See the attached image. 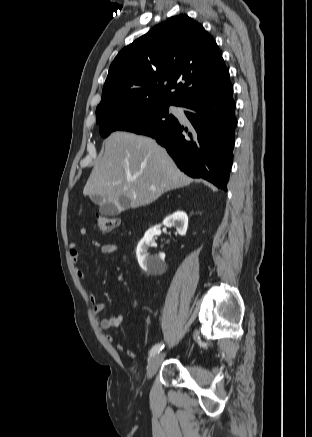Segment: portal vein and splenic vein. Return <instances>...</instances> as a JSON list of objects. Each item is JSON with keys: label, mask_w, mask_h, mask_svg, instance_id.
<instances>
[{"label": "portal vein and splenic vein", "mask_w": 312, "mask_h": 437, "mask_svg": "<svg viewBox=\"0 0 312 437\" xmlns=\"http://www.w3.org/2000/svg\"><path fill=\"white\" fill-rule=\"evenodd\" d=\"M152 190H155V188H154V187H152Z\"/></svg>", "instance_id": "portal-vein-and-splenic-vein-1"}]
</instances>
